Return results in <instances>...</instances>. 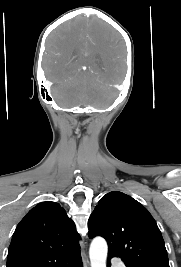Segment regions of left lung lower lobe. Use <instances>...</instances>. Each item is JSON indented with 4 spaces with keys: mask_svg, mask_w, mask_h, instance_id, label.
Returning <instances> with one entry per match:
<instances>
[{
    "mask_svg": "<svg viewBox=\"0 0 181 267\" xmlns=\"http://www.w3.org/2000/svg\"><path fill=\"white\" fill-rule=\"evenodd\" d=\"M108 255H109V259H111L112 257H117L115 254L109 253V252H108ZM107 267H110V262H108Z\"/></svg>",
    "mask_w": 181,
    "mask_h": 267,
    "instance_id": "obj_1",
    "label": "left lung lower lobe"
}]
</instances>
